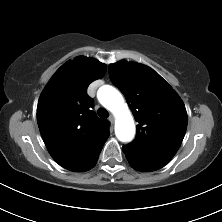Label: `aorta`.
Instances as JSON below:
<instances>
[{"label": "aorta", "mask_w": 222, "mask_h": 222, "mask_svg": "<svg viewBox=\"0 0 222 222\" xmlns=\"http://www.w3.org/2000/svg\"><path fill=\"white\" fill-rule=\"evenodd\" d=\"M98 100L116 118L115 134L122 142L131 141L135 134V123L121 93L112 86L104 85L98 90Z\"/></svg>", "instance_id": "762f6f07"}]
</instances>
